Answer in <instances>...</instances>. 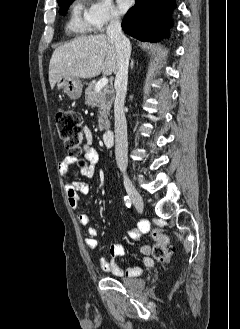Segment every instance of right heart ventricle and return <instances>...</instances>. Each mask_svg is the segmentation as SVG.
<instances>
[{"label": "right heart ventricle", "mask_w": 240, "mask_h": 329, "mask_svg": "<svg viewBox=\"0 0 240 329\" xmlns=\"http://www.w3.org/2000/svg\"><path fill=\"white\" fill-rule=\"evenodd\" d=\"M88 9L83 0H77L73 3L66 23V30L75 35H86L92 27L87 16Z\"/></svg>", "instance_id": "e07e8e85"}]
</instances>
